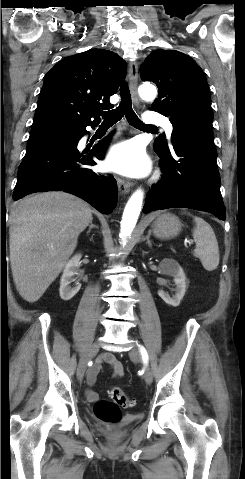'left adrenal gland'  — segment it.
<instances>
[{
  "label": "left adrenal gland",
  "mask_w": 245,
  "mask_h": 479,
  "mask_svg": "<svg viewBox=\"0 0 245 479\" xmlns=\"http://www.w3.org/2000/svg\"><path fill=\"white\" fill-rule=\"evenodd\" d=\"M144 240H146L149 247L152 246L151 241H150V231H149L148 235L144 238Z\"/></svg>",
  "instance_id": "obj_1"
}]
</instances>
